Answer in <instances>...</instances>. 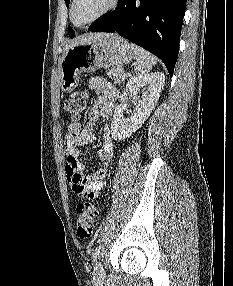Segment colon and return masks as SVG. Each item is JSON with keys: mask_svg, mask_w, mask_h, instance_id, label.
<instances>
[{"mask_svg": "<svg viewBox=\"0 0 233 286\" xmlns=\"http://www.w3.org/2000/svg\"><path fill=\"white\" fill-rule=\"evenodd\" d=\"M86 107V94L74 93L63 103V110L72 120L80 119ZM99 208L91 202L79 203L76 207V228L79 238L86 239L93 233Z\"/></svg>", "mask_w": 233, "mask_h": 286, "instance_id": "1", "label": "colon"}]
</instances>
